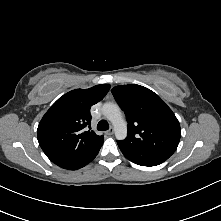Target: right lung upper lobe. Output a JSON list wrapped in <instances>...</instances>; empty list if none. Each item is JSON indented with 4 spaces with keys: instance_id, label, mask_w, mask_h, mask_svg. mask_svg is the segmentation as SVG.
I'll return each instance as SVG.
<instances>
[{
    "instance_id": "obj_1",
    "label": "right lung upper lobe",
    "mask_w": 221,
    "mask_h": 221,
    "mask_svg": "<svg viewBox=\"0 0 221 221\" xmlns=\"http://www.w3.org/2000/svg\"><path fill=\"white\" fill-rule=\"evenodd\" d=\"M110 85L75 89L60 97L38 125V142L56 165L76 170L102 146L104 137L90 129V107L102 100Z\"/></svg>"
}]
</instances>
